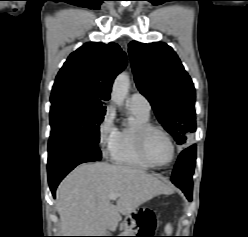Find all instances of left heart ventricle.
Segmentation results:
<instances>
[{"mask_svg":"<svg viewBox=\"0 0 248 237\" xmlns=\"http://www.w3.org/2000/svg\"><path fill=\"white\" fill-rule=\"evenodd\" d=\"M146 152L152 162L163 164L170 158L171 146L162 133L152 131L146 138Z\"/></svg>","mask_w":248,"mask_h":237,"instance_id":"left-heart-ventricle-1","label":"left heart ventricle"}]
</instances>
